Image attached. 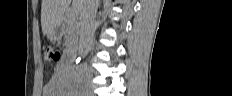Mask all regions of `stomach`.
<instances>
[{
  "mask_svg": "<svg viewBox=\"0 0 232 96\" xmlns=\"http://www.w3.org/2000/svg\"><path fill=\"white\" fill-rule=\"evenodd\" d=\"M61 36H62V33H61V31L57 28V29L53 30L52 32H50V33L48 34V39H49L50 41H57V40H59V39L61 38Z\"/></svg>",
  "mask_w": 232,
  "mask_h": 96,
  "instance_id": "1",
  "label": "stomach"
}]
</instances>
